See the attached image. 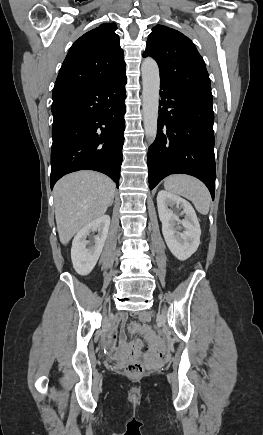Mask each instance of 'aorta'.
<instances>
[{
  "mask_svg": "<svg viewBox=\"0 0 263 435\" xmlns=\"http://www.w3.org/2000/svg\"><path fill=\"white\" fill-rule=\"evenodd\" d=\"M143 83V122L147 140L152 143L157 135L160 76L156 61L145 58L141 65Z\"/></svg>",
  "mask_w": 263,
  "mask_h": 435,
  "instance_id": "obj_1",
  "label": "aorta"
}]
</instances>
